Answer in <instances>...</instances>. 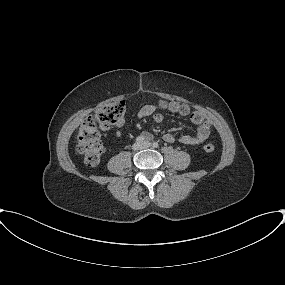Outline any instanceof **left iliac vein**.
I'll return each mask as SVG.
<instances>
[{
	"mask_svg": "<svg viewBox=\"0 0 285 285\" xmlns=\"http://www.w3.org/2000/svg\"><path fill=\"white\" fill-rule=\"evenodd\" d=\"M142 146H143L144 148H149V147H151L152 145H151V143H150L149 141H145V142L142 143Z\"/></svg>",
	"mask_w": 285,
	"mask_h": 285,
	"instance_id": "left-iliac-vein-1",
	"label": "left iliac vein"
}]
</instances>
